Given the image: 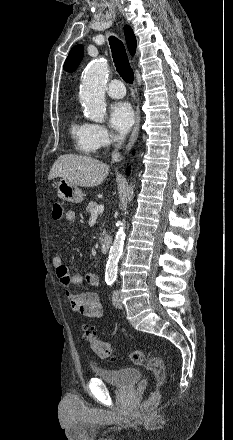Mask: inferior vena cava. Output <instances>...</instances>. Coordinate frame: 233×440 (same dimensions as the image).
Segmentation results:
<instances>
[{
  "label": "inferior vena cava",
  "mask_w": 233,
  "mask_h": 440,
  "mask_svg": "<svg viewBox=\"0 0 233 440\" xmlns=\"http://www.w3.org/2000/svg\"><path fill=\"white\" fill-rule=\"evenodd\" d=\"M115 141L117 142V146H116L115 151L112 153V161L113 162H117V161L121 160L120 154L118 153V149L121 147V145L124 141V138L119 135V136L115 137Z\"/></svg>",
  "instance_id": "obj_1"
}]
</instances>
